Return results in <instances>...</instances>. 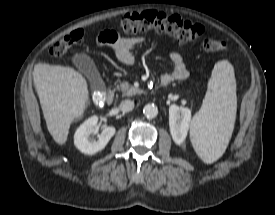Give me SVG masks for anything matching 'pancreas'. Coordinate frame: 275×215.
<instances>
[{
	"mask_svg": "<svg viewBox=\"0 0 275 215\" xmlns=\"http://www.w3.org/2000/svg\"><path fill=\"white\" fill-rule=\"evenodd\" d=\"M118 89L122 92L124 96H133L135 94H140L143 92V90L137 87L131 86L128 82L120 83V86L118 87Z\"/></svg>",
	"mask_w": 275,
	"mask_h": 215,
	"instance_id": "pancreas-1",
	"label": "pancreas"
}]
</instances>
